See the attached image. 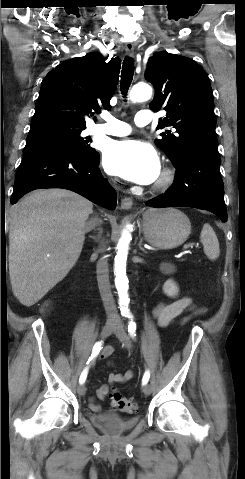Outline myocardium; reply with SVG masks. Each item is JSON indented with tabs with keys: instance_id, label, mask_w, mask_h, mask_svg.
I'll use <instances>...</instances> for the list:
<instances>
[{
	"instance_id": "myocardium-1",
	"label": "myocardium",
	"mask_w": 245,
	"mask_h": 479,
	"mask_svg": "<svg viewBox=\"0 0 245 479\" xmlns=\"http://www.w3.org/2000/svg\"><path fill=\"white\" fill-rule=\"evenodd\" d=\"M173 178H174L173 172L170 169L165 168L161 172L158 180L156 181L154 185V190L163 191L167 189L172 184Z\"/></svg>"
}]
</instances>
